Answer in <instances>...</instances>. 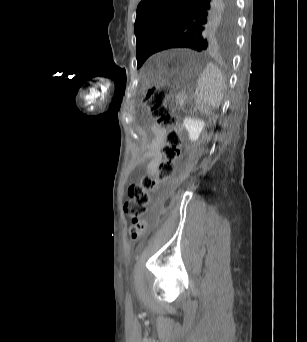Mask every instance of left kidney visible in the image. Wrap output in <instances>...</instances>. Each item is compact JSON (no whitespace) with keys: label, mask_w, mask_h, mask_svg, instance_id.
Wrapping results in <instances>:
<instances>
[{"label":"left kidney","mask_w":307,"mask_h":342,"mask_svg":"<svg viewBox=\"0 0 307 342\" xmlns=\"http://www.w3.org/2000/svg\"><path fill=\"white\" fill-rule=\"evenodd\" d=\"M183 126L188 132L189 140L196 142L205 126V122L203 120H195V118H184Z\"/></svg>","instance_id":"5707ae66"}]
</instances>
